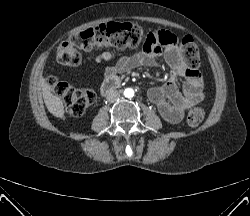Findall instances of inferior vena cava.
<instances>
[{
  "instance_id": "1",
  "label": "inferior vena cava",
  "mask_w": 250,
  "mask_h": 216,
  "mask_svg": "<svg viewBox=\"0 0 250 216\" xmlns=\"http://www.w3.org/2000/svg\"><path fill=\"white\" fill-rule=\"evenodd\" d=\"M119 97H120V93L118 91L110 90L108 91L106 98L108 102H115L119 99Z\"/></svg>"
}]
</instances>
